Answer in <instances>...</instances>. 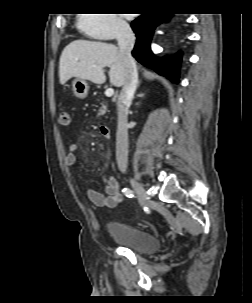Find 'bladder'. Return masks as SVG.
<instances>
[{
    "label": "bladder",
    "mask_w": 252,
    "mask_h": 303,
    "mask_svg": "<svg viewBox=\"0 0 252 303\" xmlns=\"http://www.w3.org/2000/svg\"><path fill=\"white\" fill-rule=\"evenodd\" d=\"M108 231L119 244L141 253H155L160 248L156 236L136 226L112 222L108 225Z\"/></svg>",
    "instance_id": "31cf9c89"
}]
</instances>
